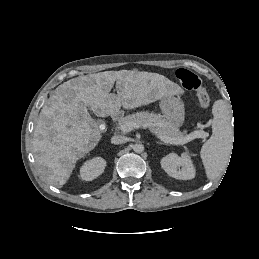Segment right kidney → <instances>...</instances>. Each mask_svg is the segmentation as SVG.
Wrapping results in <instances>:
<instances>
[{
	"label": "right kidney",
	"instance_id": "right-kidney-1",
	"mask_svg": "<svg viewBox=\"0 0 259 259\" xmlns=\"http://www.w3.org/2000/svg\"><path fill=\"white\" fill-rule=\"evenodd\" d=\"M106 166V161L101 157H96L86 161L80 168V177L85 181H92L100 176Z\"/></svg>",
	"mask_w": 259,
	"mask_h": 259
}]
</instances>
